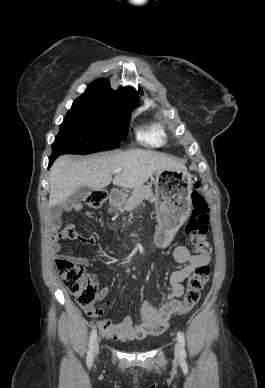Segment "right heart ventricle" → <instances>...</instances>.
<instances>
[{
  "label": "right heart ventricle",
  "mask_w": 265,
  "mask_h": 388,
  "mask_svg": "<svg viewBox=\"0 0 265 388\" xmlns=\"http://www.w3.org/2000/svg\"><path fill=\"white\" fill-rule=\"evenodd\" d=\"M141 138L155 145L161 144L165 138L161 123L154 124L148 131L141 135Z\"/></svg>",
  "instance_id": "1"
}]
</instances>
